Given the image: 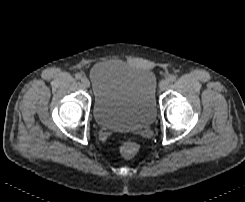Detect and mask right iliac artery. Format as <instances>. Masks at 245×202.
Wrapping results in <instances>:
<instances>
[{
  "instance_id": "82829eb1",
  "label": "right iliac artery",
  "mask_w": 245,
  "mask_h": 202,
  "mask_svg": "<svg viewBox=\"0 0 245 202\" xmlns=\"http://www.w3.org/2000/svg\"><path fill=\"white\" fill-rule=\"evenodd\" d=\"M81 77H82V76H81L80 73L75 74V78H76V79H81Z\"/></svg>"
}]
</instances>
